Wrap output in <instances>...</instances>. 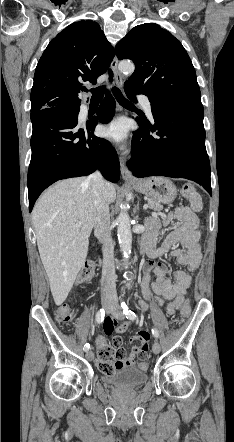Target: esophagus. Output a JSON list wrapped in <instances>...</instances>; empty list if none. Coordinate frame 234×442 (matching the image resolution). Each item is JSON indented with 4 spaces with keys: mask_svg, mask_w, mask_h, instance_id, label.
I'll return each instance as SVG.
<instances>
[{
    "mask_svg": "<svg viewBox=\"0 0 234 442\" xmlns=\"http://www.w3.org/2000/svg\"><path fill=\"white\" fill-rule=\"evenodd\" d=\"M111 68H112V70L114 72V77H115L116 85L119 88H122V86H123V78H122V75L120 74V72L118 70V59H117L116 55L114 56V58H113V60L111 62ZM120 167H121L122 178L125 181H129V182L137 181V179L129 171V169L127 167L126 159H125L124 156L120 157Z\"/></svg>",
    "mask_w": 234,
    "mask_h": 442,
    "instance_id": "34e87169",
    "label": "esophagus"
}]
</instances>
